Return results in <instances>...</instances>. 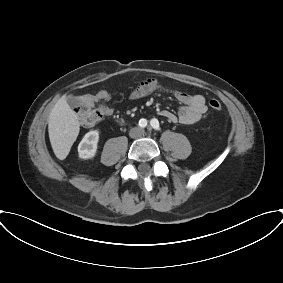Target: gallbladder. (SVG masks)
I'll return each instance as SVG.
<instances>
[{"label": "gallbladder", "instance_id": "obj_1", "mask_svg": "<svg viewBox=\"0 0 283 283\" xmlns=\"http://www.w3.org/2000/svg\"><path fill=\"white\" fill-rule=\"evenodd\" d=\"M67 101L68 104L72 107H75L80 103V101L76 97H69Z\"/></svg>", "mask_w": 283, "mask_h": 283}]
</instances>
